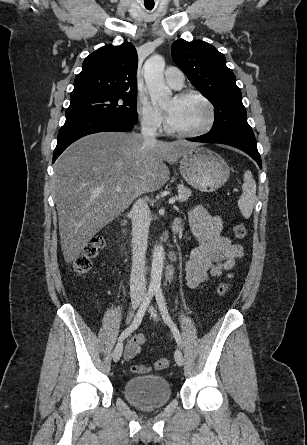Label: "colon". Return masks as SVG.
<instances>
[{"mask_svg":"<svg viewBox=\"0 0 307 445\" xmlns=\"http://www.w3.org/2000/svg\"><path fill=\"white\" fill-rule=\"evenodd\" d=\"M234 236L238 239L245 238L247 234V230L244 224L236 223L233 226ZM105 240L103 237H97L93 239L85 248L82 254L75 260L74 269L79 275L86 274L89 272L93 265L94 261L100 254L101 249L103 248ZM229 284L228 282L222 281L219 283L217 287V293L219 296H224L228 292ZM169 366V361L166 358H161L157 360L150 368L155 370H162ZM149 370V367L143 365H134L132 367V371L134 373H143Z\"/></svg>","mask_w":307,"mask_h":445,"instance_id":"obj_1","label":"colon"}]
</instances>
